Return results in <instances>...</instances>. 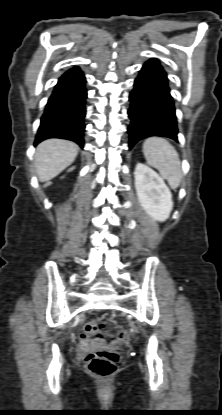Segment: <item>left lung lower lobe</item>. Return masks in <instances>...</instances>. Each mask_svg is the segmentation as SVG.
<instances>
[{
  "label": "left lung lower lobe",
  "mask_w": 222,
  "mask_h": 415,
  "mask_svg": "<svg viewBox=\"0 0 222 415\" xmlns=\"http://www.w3.org/2000/svg\"><path fill=\"white\" fill-rule=\"evenodd\" d=\"M129 101V149L150 136H163L178 141L169 80L158 59L152 58L143 65L135 79Z\"/></svg>",
  "instance_id": "1"
}]
</instances>
